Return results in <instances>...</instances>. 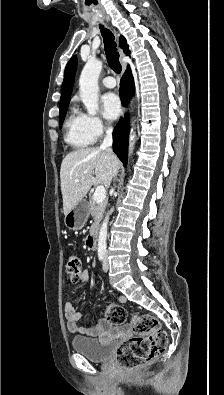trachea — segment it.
Returning a JSON list of instances; mask_svg holds the SVG:
<instances>
[{
  "label": "trachea",
  "instance_id": "obj_1",
  "mask_svg": "<svg viewBox=\"0 0 224 395\" xmlns=\"http://www.w3.org/2000/svg\"><path fill=\"white\" fill-rule=\"evenodd\" d=\"M100 28L104 40V49L108 64L115 73L119 74L121 72V64L119 62V53L116 48V42L114 41L115 37L110 30L102 26H100Z\"/></svg>",
  "mask_w": 224,
  "mask_h": 395
}]
</instances>
